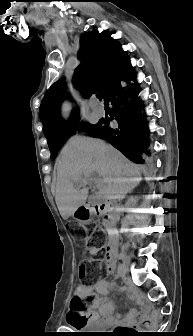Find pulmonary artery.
<instances>
[{
	"label": "pulmonary artery",
	"instance_id": "e3ab8cb5",
	"mask_svg": "<svg viewBox=\"0 0 193 336\" xmlns=\"http://www.w3.org/2000/svg\"><path fill=\"white\" fill-rule=\"evenodd\" d=\"M90 107L92 109V112L94 114H97L99 116H102L105 112L104 108L102 106H98L96 105V100L95 99H91L90 101Z\"/></svg>",
	"mask_w": 193,
	"mask_h": 336
}]
</instances>
